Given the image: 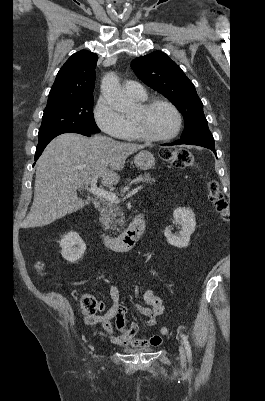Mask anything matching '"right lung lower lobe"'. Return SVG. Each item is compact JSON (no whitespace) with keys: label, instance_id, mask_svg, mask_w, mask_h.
Segmentation results:
<instances>
[{"label":"right lung lower lobe","instance_id":"1","mask_svg":"<svg viewBox=\"0 0 265 401\" xmlns=\"http://www.w3.org/2000/svg\"><path fill=\"white\" fill-rule=\"evenodd\" d=\"M63 133H69L68 131H55L51 134H49L48 136H46L45 138L39 139V143L36 147V153H35V161L39 158V156L42 154L43 150L45 149L46 145L56 136L63 134ZM73 133H77V132H73ZM82 135H86V136H90L91 134H86V133H79Z\"/></svg>","mask_w":265,"mask_h":401}]
</instances>
